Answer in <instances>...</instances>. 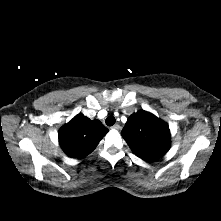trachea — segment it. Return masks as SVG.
Returning a JSON list of instances; mask_svg holds the SVG:
<instances>
[{"instance_id": "1", "label": "trachea", "mask_w": 221, "mask_h": 221, "mask_svg": "<svg viewBox=\"0 0 221 221\" xmlns=\"http://www.w3.org/2000/svg\"><path fill=\"white\" fill-rule=\"evenodd\" d=\"M115 118L113 116H109L106 118L105 120V123L108 125V126H113L115 124Z\"/></svg>"}]
</instances>
